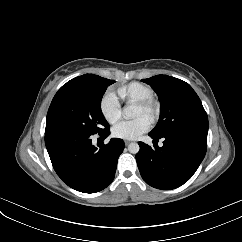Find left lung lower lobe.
<instances>
[{"instance_id": "obj_1", "label": "left lung lower lobe", "mask_w": 242, "mask_h": 242, "mask_svg": "<svg viewBox=\"0 0 242 242\" xmlns=\"http://www.w3.org/2000/svg\"><path fill=\"white\" fill-rule=\"evenodd\" d=\"M207 133L204 130H185L167 135L163 137L162 147L139 142L136 161L143 180L162 190L174 189L186 183L205 156ZM149 136L154 141L159 139L150 133Z\"/></svg>"}]
</instances>
